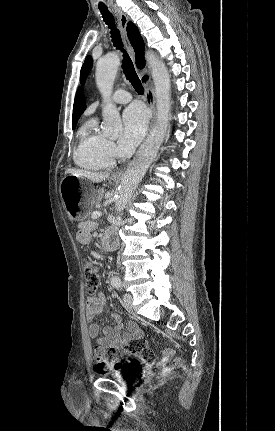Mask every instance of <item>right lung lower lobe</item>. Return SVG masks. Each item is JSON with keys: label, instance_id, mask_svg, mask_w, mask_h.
<instances>
[{"label": "right lung lower lobe", "instance_id": "right-lung-lower-lobe-1", "mask_svg": "<svg viewBox=\"0 0 275 431\" xmlns=\"http://www.w3.org/2000/svg\"><path fill=\"white\" fill-rule=\"evenodd\" d=\"M148 79V77L143 78V81L145 82Z\"/></svg>", "mask_w": 275, "mask_h": 431}]
</instances>
